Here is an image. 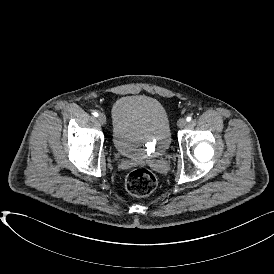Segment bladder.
I'll return each instance as SVG.
<instances>
[{"mask_svg":"<svg viewBox=\"0 0 274 274\" xmlns=\"http://www.w3.org/2000/svg\"><path fill=\"white\" fill-rule=\"evenodd\" d=\"M112 142L121 156L130 159L166 152L171 144V127L161 102L146 95L119 98L112 108Z\"/></svg>","mask_w":274,"mask_h":274,"instance_id":"bladder-1","label":"bladder"}]
</instances>
